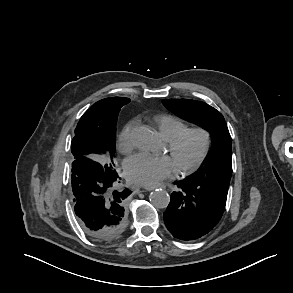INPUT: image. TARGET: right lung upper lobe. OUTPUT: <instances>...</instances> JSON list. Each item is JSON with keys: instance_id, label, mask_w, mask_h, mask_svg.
Returning <instances> with one entry per match:
<instances>
[{"instance_id": "right-lung-upper-lobe-1", "label": "right lung upper lobe", "mask_w": 293, "mask_h": 293, "mask_svg": "<svg viewBox=\"0 0 293 293\" xmlns=\"http://www.w3.org/2000/svg\"><path fill=\"white\" fill-rule=\"evenodd\" d=\"M130 102V99L124 98V97H110L103 100H100L93 104L81 117L80 121H99V125H105L106 122H104V119H106V115L108 112L112 109V107L118 106V105H125ZM103 122V124L101 123ZM75 160L79 158H89L92 160H95V154L94 153H85V154H79L74 156Z\"/></svg>"}]
</instances>
